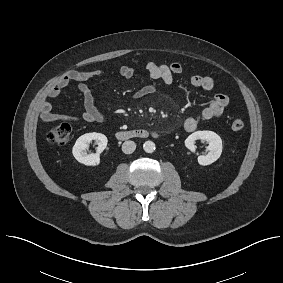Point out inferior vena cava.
Here are the masks:
<instances>
[{
  "instance_id": "obj_1",
  "label": "inferior vena cava",
  "mask_w": 283,
  "mask_h": 283,
  "mask_svg": "<svg viewBox=\"0 0 283 283\" xmlns=\"http://www.w3.org/2000/svg\"><path fill=\"white\" fill-rule=\"evenodd\" d=\"M136 149V144L134 141H125L122 144V151L125 154H131L135 151Z\"/></svg>"
}]
</instances>
